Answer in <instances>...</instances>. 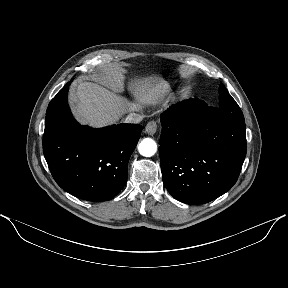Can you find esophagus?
Returning <instances> with one entry per match:
<instances>
[{"mask_svg": "<svg viewBox=\"0 0 288 288\" xmlns=\"http://www.w3.org/2000/svg\"><path fill=\"white\" fill-rule=\"evenodd\" d=\"M158 125L156 121H149L145 127V132L148 135H154L157 131Z\"/></svg>", "mask_w": 288, "mask_h": 288, "instance_id": "1", "label": "esophagus"}]
</instances>
